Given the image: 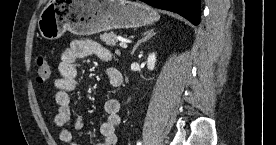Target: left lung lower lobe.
<instances>
[{
  "label": "left lung lower lobe",
  "instance_id": "obj_1",
  "mask_svg": "<svg viewBox=\"0 0 276 145\" xmlns=\"http://www.w3.org/2000/svg\"><path fill=\"white\" fill-rule=\"evenodd\" d=\"M156 8L178 13L192 24L200 22V0H141Z\"/></svg>",
  "mask_w": 276,
  "mask_h": 145
}]
</instances>
